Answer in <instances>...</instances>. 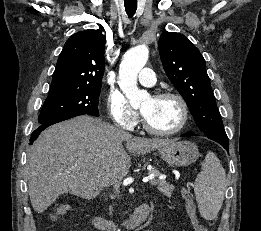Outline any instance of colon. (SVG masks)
I'll use <instances>...</instances> for the list:
<instances>
[{"label":"colon","instance_id":"1","mask_svg":"<svg viewBox=\"0 0 261 231\" xmlns=\"http://www.w3.org/2000/svg\"><path fill=\"white\" fill-rule=\"evenodd\" d=\"M187 207L188 209L193 213V202L191 201L190 198H188L187 200ZM65 211L63 209H58L55 212V216H60L64 213ZM193 220H194V224H195V231H207L205 226L203 224H201L196 217L193 215Z\"/></svg>","mask_w":261,"mask_h":231}]
</instances>
